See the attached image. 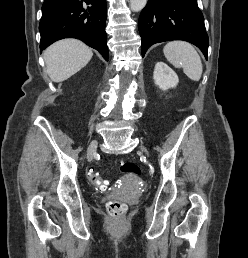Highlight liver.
Wrapping results in <instances>:
<instances>
[{
    "instance_id": "6515ba94",
    "label": "liver",
    "mask_w": 248,
    "mask_h": 258,
    "mask_svg": "<svg viewBox=\"0 0 248 258\" xmlns=\"http://www.w3.org/2000/svg\"><path fill=\"white\" fill-rule=\"evenodd\" d=\"M92 56L91 48L75 39L58 41L43 52L47 73L54 82H62L76 74Z\"/></svg>"
}]
</instances>
